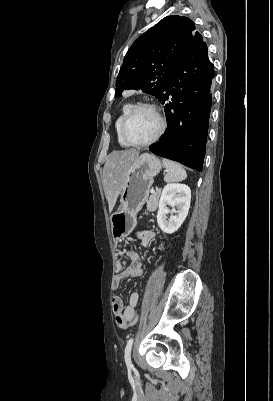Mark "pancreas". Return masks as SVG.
Returning <instances> with one entry per match:
<instances>
[{"label":"pancreas","mask_w":273,"mask_h":401,"mask_svg":"<svg viewBox=\"0 0 273 401\" xmlns=\"http://www.w3.org/2000/svg\"><path fill=\"white\" fill-rule=\"evenodd\" d=\"M160 196V190H156V192H152L149 196V201H147V211H156L158 207V201ZM147 215V213H145Z\"/></svg>","instance_id":"pancreas-1"}]
</instances>
